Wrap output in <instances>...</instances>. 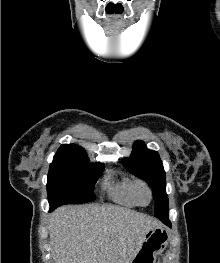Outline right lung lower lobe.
Returning <instances> with one entry per match:
<instances>
[{
  "mask_svg": "<svg viewBox=\"0 0 220 263\" xmlns=\"http://www.w3.org/2000/svg\"><path fill=\"white\" fill-rule=\"evenodd\" d=\"M54 209H55V207H53V206L50 207V211H52V210H54Z\"/></svg>",
  "mask_w": 220,
  "mask_h": 263,
  "instance_id": "98d812e1",
  "label": "right lung lower lobe"
}]
</instances>
